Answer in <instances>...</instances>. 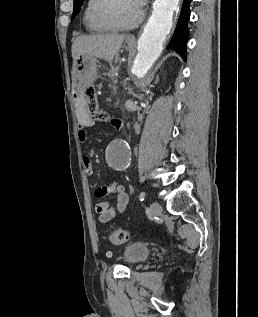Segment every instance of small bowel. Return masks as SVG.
Masks as SVG:
<instances>
[{"mask_svg":"<svg viewBox=\"0 0 258 317\" xmlns=\"http://www.w3.org/2000/svg\"><path fill=\"white\" fill-rule=\"evenodd\" d=\"M111 125L117 129L122 127L121 122L118 120H112ZM79 126L78 138L80 142L84 143L88 138L86 128L89 126V122L87 120H81ZM83 166L86 175L92 176L94 174L93 164L89 157L86 156L83 158ZM111 194L115 195L114 202L101 201L96 204L95 210L101 223L110 222L118 215L122 214L127 208L128 196L123 185L111 183L98 187L95 191V195L98 198H103Z\"/></svg>","mask_w":258,"mask_h":317,"instance_id":"1","label":"small bowel"}]
</instances>
